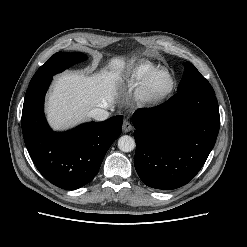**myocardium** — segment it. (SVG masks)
Returning a JSON list of instances; mask_svg holds the SVG:
<instances>
[{
    "instance_id": "f54148a6",
    "label": "myocardium",
    "mask_w": 247,
    "mask_h": 247,
    "mask_svg": "<svg viewBox=\"0 0 247 247\" xmlns=\"http://www.w3.org/2000/svg\"><path fill=\"white\" fill-rule=\"evenodd\" d=\"M165 73L170 81V87L168 89V91L166 93H164L163 95L159 96V97H151L148 95L147 93V84L150 80V78L156 74V73ZM176 88V80L173 76V74L164 67H156L152 70H150L149 72H147L143 78L140 80V82L138 83L135 93H134V98L135 101L137 102L138 105L140 106H144V107H154V106H158L162 103H164L166 100H168L171 95L173 94L174 90Z\"/></svg>"
}]
</instances>
